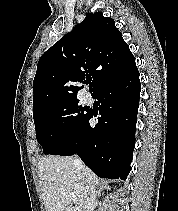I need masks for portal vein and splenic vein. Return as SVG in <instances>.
Masks as SVG:
<instances>
[{
    "mask_svg": "<svg viewBox=\"0 0 178 211\" xmlns=\"http://www.w3.org/2000/svg\"><path fill=\"white\" fill-rule=\"evenodd\" d=\"M70 199H71L72 201H75V200H76V197H75L74 195H72V196H70Z\"/></svg>",
    "mask_w": 178,
    "mask_h": 211,
    "instance_id": "portal-vein-and-splenic-vein-1",
    "label": "portal vein and splenic vein"
}]
</instances>
